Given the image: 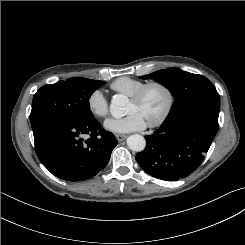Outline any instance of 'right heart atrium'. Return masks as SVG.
Wrapping results in <instances>:
<instances>
[{
    "instance_id": "d8ad5b80",
    "label": "right heart atrium",
    "mask_w": 245,
    "mask_h": 245,
    "mask_svg": "<svg viewBox=\"0 0 245 245\" xmlns=\"http://www.w3.org/2000/svg\"><path fill=\"white\" fill-rule=\"evenodd\" d=\"M89 111L98 118H104L108 115L109 104L104 93L96 89L92 91L87 99Z\"/></svg>"
}]
</instances>
